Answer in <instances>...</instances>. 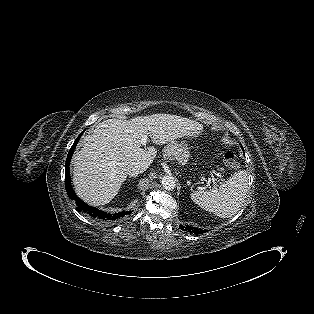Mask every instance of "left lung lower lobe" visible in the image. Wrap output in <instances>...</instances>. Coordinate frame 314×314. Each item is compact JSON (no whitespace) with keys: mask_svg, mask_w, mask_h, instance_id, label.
Listing matches in <instances>:
<instances>
[{"mask_svg":"<svg viewBox=\"0 0 314 314\" xmlns=\"http://www.w3.org/2000/svg\"><path fill=\"white\" fill-rule=\"evenodd\" d=\"M181 229H184V230H187L188 232H194L195 234H202V233H205L206 231L205 230H201V229H198V228H194V227H191V226H182L180 225Z\"/></svg>","mask_w":314,"mask_h":314,"instance_id":"0a47b994","label":"left lung lower lobe"}]
</instances>
